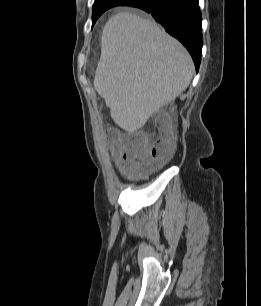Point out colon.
<instances>
[{"label": "colon", "instance_id": "1", "mask_svg": "<svg viewBox=\"0 0 261 306\" xmlns=\"http://www.w3.org/2000/svg\"><path fill=\"white\" fill-rule=\"evenodd\" d=\"M155 124L159 131L158 138L149 149V156L154 165H160L169 160L172 153L173 132V118L166 111H159L155 117ZM112 147L116 143L112 141ZM147 137L140 134H130L122 143V149L130 160H142L146 154ZM129 174L134 171L128 169Z\"/></svg>", "mask_w": 261, "mask_h": 306}]
</instances>
